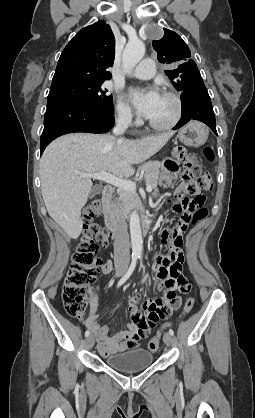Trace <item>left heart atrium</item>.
I'll use <instances>...</instances> for the list:
<instances>
[{
  "label": "left heart atrium",
  "mask_w": 255,
  "mask_h": 418,
  "mask_svg": "<svg viewBox=\"0 0 255 418\" xmlns=\"http://www.w3.org/2000/svg\"><path fill=\"white\" fill-rule=\"evenodd\" d=\"M130 99L138 113L146 118H150L160 100V93L155 88L147 90L132 89L129 93Z\"/></svg>",
  "instance_id": "left-heart-atrium-1"
}]
</instances>
